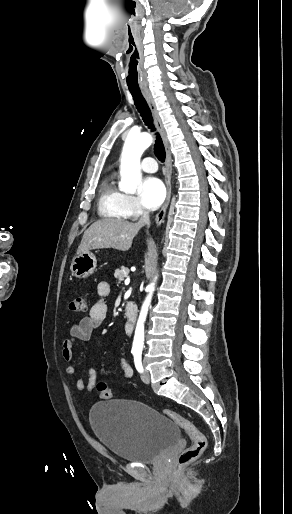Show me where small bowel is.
<instances>
[{"instance_id":"small-bowel-1","label":"small bowel","mask_w":292,"mask_h":514,"mask_svg":"<svg viewBox=\"0 0 292 514\" xmlns=\"http://www.w3.org/2000/svg\"><path fill=\"white\" fill-rule=\"evenodd\" d=\"M96 290L99 297L104 298L110 294V285L106 281H100ZM107 312V305L102 299L95 302L90 308L89 314L71 326L69 338L65 339L62 344V356L67 362L65 371L68 375L75 376V385L79 391H92L95 387L97 374L93 368H89L86 371L87 380L78 376L77 360L73 351L74 344L90 340L93 330L100 328L105 323ZM119 369L125 379H130L134 375L132 367L125 359L119 362Z\"/></svg>"}]
</instances>
